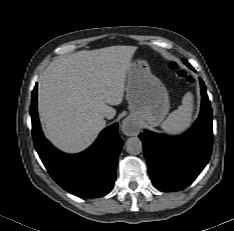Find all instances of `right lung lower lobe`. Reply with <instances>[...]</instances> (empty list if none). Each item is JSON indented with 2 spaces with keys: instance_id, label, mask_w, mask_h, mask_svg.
Segmentation results:
<instances>
[{
  "instance_id": "obj_1",
  "label": "right lung lower lobe",
  "mask_w": 234,
  "mask_h": 231,
  "mask_svg": "<svg viewBox=\"0 0 234 231\" xmlns=\"http://www.w3.org/2000/svg\"><path fill=\"white\" fill-rule=\"evenodd\" d=\"M37 85L32 92L30 114L34 146L51 177L68 192L84 198L109 193L116 178V164L122 148L117 123L105 128L86 151L70 155L54 148L44 137L37 113Z\"/></svg>"
}]
</instances>
